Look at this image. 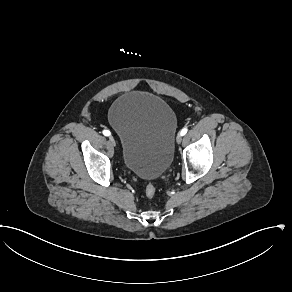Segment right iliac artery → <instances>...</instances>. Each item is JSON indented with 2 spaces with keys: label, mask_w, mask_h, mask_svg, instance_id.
<instances>
[{
  "label": "right iliac artery",
  "mask_w": 292,
  "mask_h": 292,
  "mask_svg": "<svg viewBox=\"0 0 292 292\" xmlns=\"http://www.w3.org/2000/svg\"><path fill=\"white\" fill-rule=\"evenodd\" d=\"M103 134H104L105 136H110V135H111V132H110L109 130H104V131H103Z\"/></svg>",
  "instance_id": "1"
}]
</instances>
